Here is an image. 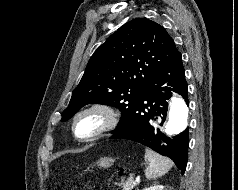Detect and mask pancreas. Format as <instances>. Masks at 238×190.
I'll return each mask as SVG.
<instances>
[{
  "label": "pancreas",
  "instance_id": "cf45deb5",
  "mask_svg": "<svg viewBox=\"0 0 238 190\" xmlns=\"http://www.w3.org/2000/svg\"><path fill=\"white\" fill-rule=\"evenodd\" d=\"M138 182L133 179V177H129L126 181L122 180L120 186L122 190H132Z\"/></svg>",
  "mask_w": 238,
  "mask_h": 190
}]
</instances>
